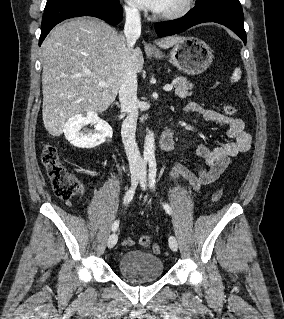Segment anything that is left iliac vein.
Returning a JSON list of instances; mask_svg holds the SVG:
<instances>
[{
    "instance_id": "left-iliac-vein-1",
    "label": "left iliac vein",
    "mask_w": 284,
    "mask_h": 319,
    "mask_svg": "<svg viewBox=\"0 0 284 319\" xmlns=\"http://www.w3.org/2000/svg\"><path fill=\"white\" fill-rule=\"evenodd\" d=\"M146 172L143 171L140 175V185L145 190L147 185ZM169 247L172 251H177L178 249V241L174 236L169 237Z\"/></svg>"
}]
</instances>
